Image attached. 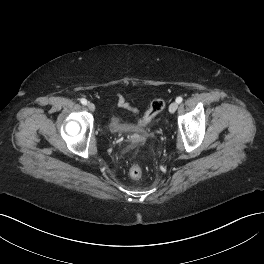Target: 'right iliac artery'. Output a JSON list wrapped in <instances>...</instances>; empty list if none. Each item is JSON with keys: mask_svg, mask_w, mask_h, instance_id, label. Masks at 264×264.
Returning a JSON list of instances; mask_svg holds the SVG:
<instances>
[{"mask_svg": "<svg viewBox=\"0 0 264 264\" xmlns=\"http://www.w3.org/2000/svg\"><path fill=\"white\" fill-rule=\"evenodd\" d=\"M81 103H82L83 105H87V100L84 99V98H82V99H81Z\"/></svg>", "mask_w": 264, "mask_h": 264, "instance_id": "82829eb1", "label": "right iliac artery"}]
</instances>
